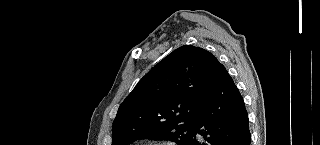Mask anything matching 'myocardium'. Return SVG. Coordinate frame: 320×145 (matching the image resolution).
Returning a JSON list of instances; mask_svg holds the SVG:
<instances>
[{
    "label": "myocardium",
    "mask_w": 320,
    "mask_h": 145,
    "mask_svg": "<svg viewBox=\"0 0 320 145\" xmlns=\"http://www.w3.org/2000/svg\"><path fill=\"white\" fill-rule=\"evenodd\" d=\"M146 145H160V144H146Z\"/></svg>",
    "instance_id": "1"
}]
</instances>
